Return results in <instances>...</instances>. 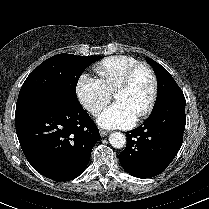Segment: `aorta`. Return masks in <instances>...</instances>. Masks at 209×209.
<instances>
[{
  "label": "aorta",
  "mask_w": 209,
  "mask_h": 209,
  "mask_svg": "<svg viewBox=\"0 0 209 209\" xmlns=\"http://www.w3.org/2000/svg\"><path fill=\"white\" fill-rule=\"evenodd\" d=\"M109 142L114 148H123L126 144V137L120 132L111 133L109 136Z\"/></svg>",
  "instance_id": "obj_1"
}]
</instances>
